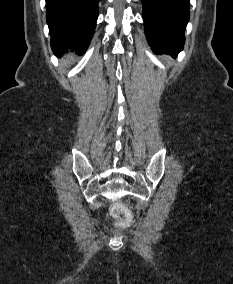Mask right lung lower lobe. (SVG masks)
<instances>
[{
  "mask_svg": "<svg viewBox=\"0 0 233 284\" xmlns=\"http://www.w3.org/2000/svg\"><path fill=\"white\" fill-rule=\"evenodd\" d=\"M98 17V0H46V19L54 53L74 46L79 55L87 50Z\"/></svg>",
  "mask_w": 233,
  "mask_h": 284,
  "instance_id": "right-lung-lower-lobe-1",
  "label": "right lung lower lobe"
}]
</instances>
